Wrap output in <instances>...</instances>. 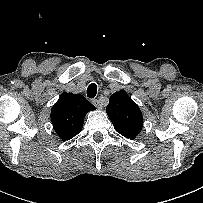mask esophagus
Instances as JSON below:
<instances>
[{"label": "esophagus", "mask_w": 203, "mask_h": 203, "mask_svg": "<svg viewBox=\"0 0 203 203\" xmlns=\"http://www.w3.org/2000/svg\"><path fill=\"white\" fill-rule=\"evenodd\" d=\"M92 104L95 106V107H97V108H99V109H101L102 108V105H101V103H100V101L98 100V99H92Z\"/></svg>", "instance_id": "34e87169"}]
</instances>
